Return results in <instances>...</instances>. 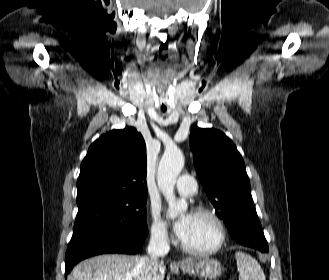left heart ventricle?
<instances>
[{
	"label": "left heart ventricle",
	"instance_id": "obj_1",
	"mask_svg": "<svg viewBox=\"0 0 329 280\" xmlns=\"http://www.w3.org/2000/svg\"><path fill=\"white\" fill-rule=\"evenodd\" d=\"M217 240V229L213 222L201 215L192 214L182 241L192 248H208Z\"/></svg>",
	"mask_w": 329,
	"mask_h": 280
}]
</instances>
